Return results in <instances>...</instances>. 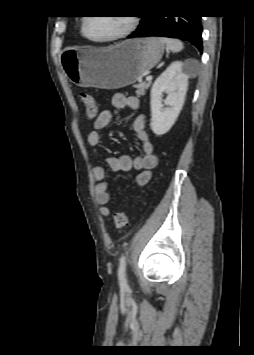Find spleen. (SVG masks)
Here are the masks:
<instances>
[{
  "mask_svg": "<svg viewBox=\"0 0 254 355\" xmlns=\"http://www.w3.org/2000/svg\"><path fill=\"white\" fill-rule=\"evenodd\" d=\"M162 41L166 44L167 49L173 53H177L181 51L183 47V43L178 39H171V38H162Z\"/></svg>",
  "mask_w": 254,
  "mask_h": 355,
  "instance_id": "spleen-1",
  "label": "spleen"
}]
</instances>
